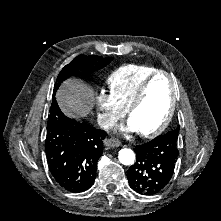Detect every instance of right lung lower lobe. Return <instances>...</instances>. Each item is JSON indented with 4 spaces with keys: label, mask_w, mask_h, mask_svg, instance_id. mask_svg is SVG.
Masks as SVG:
<instances>
[{
    "label": "right lung lower lobe",
    "mask_w": 221,
    "mask_h": 221,
    "mask_svg": "<svg viewBox=\"0 0 221 221\" xmlns=\"http://www.w3.org/2000/svg\"><path fill=\"white\" fill-rule=\"evenodd\" d=\"M106 135L103 130L66 117L53 98L45 150L49 170L62 188L83 192L92 186Z\"/></svg>",
    "instance_id": "right-lung-lower-lobe-1"
}]
</instances>
